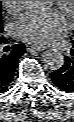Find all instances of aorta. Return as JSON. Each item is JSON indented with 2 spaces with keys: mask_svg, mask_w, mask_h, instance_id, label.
I'll list each match as a JSON object with an SVG mask.
<instances>
[{
  "mask_svg": "<svg viewBox=\"0 0 74 122\" xmlns=\"http://www.w3.org/2000/svg\"><path fill=\"white\" fill-rule=\"evenodd\" d=\"M25 4L31 9H42L50 4V1H25ZM42 62L45 68L58 70L64 65V55L56 50H46L42 55Z\"/></svg>",
  "mask_w": 74,
  "mask_h": 122,
  "instance_id": "762f6f07",
  "label": "aorta"
}]
</instances>
